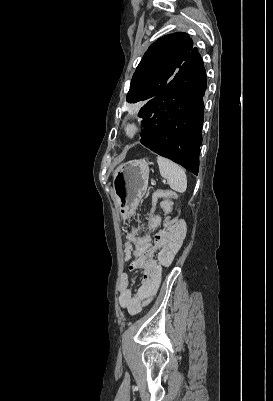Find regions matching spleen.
<instances>
[{
	"instance_id": "obj_1",
	"label": "spleen",
	"mask_w": 273,
	"mask_h": 401,
	"mask_svg": "<svg viewBox=\"0 0 273 401\" xmlns=\"http://www.w3.org/2000/svg\"><path fill=\"white\" fill-rule=\"evenodd\" d=\"M157 162L159 164V170L163 178H167V182L173 190L177 192H185L187 188V176L176 162L164 158V156H157Z\"/></svg>"
}]
</instances>
